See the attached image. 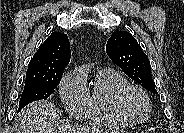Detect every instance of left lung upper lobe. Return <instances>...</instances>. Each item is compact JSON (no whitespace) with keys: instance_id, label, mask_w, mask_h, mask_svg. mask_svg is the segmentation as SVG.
Returning a JSON list of instances; mask_svg holds the SVG:
<instances>
[{"instance_id":"obj_1","label":"left lung upper lobe","mask_w":184,"mask_h":133,"mask_svg":"<svg viewBox=\"0 0 184 133\" xmlns=\"http://www.w3.org/2000/svg\"><path fill=\"white\" fill-rule=\"evenodd\" d=\"M106 52L110 59L132 80L157 94L148 56L129 32L113 33L107 42Z\"/></svg>"}]
</instances>
